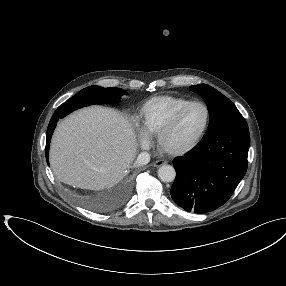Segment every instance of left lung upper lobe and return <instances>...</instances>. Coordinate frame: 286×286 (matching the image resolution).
<instances>
[{
  "instance_id": "left-lung-upper-lobe-1",
  "label": "left lung upper lobe",
  "mask_w": 286,
  "mask_h": 286,
  "mask_svg": "<svg viewBox=\"0 0 286 286\" xmlns=\"http://www.w3.org/2000/svg\"><path fill=\"white\" fill-rule=\"evenodd\" d=\"M190 90L201 95L207 104L210 121L205 135L221 129L248 128L246 120L232 101L215 88L199 84L190 86Z\"/></svg>"
}]
</instances>
